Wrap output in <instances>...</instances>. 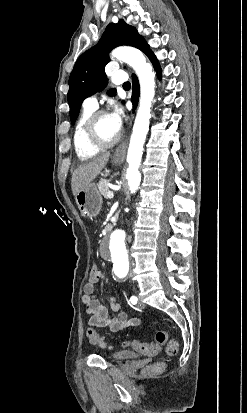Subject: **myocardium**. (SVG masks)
Returning <instances> with one entry per match:
<instances>
[{
  "mask_svg": "<svg viewBox=\"0 0 247 413\" xmlns=\"http://www.w3.org/2000/svg\"><path fill=\"white\" fill-rule=\"evenodd\" d=\"M103 115V111H96L94 112L89 119L88 125L86 127L85 130V139L86 142L95 148H98L100 150L103 149H109L112 148L113 146H115L118 141H119V136H117L116 138H114L113 140H103L99 134H98V130H97V123L99 122L100 118Z\"/></svg>",
  "mask_w": 247,
  "mask_h": 413,
  "instance_id": "1",
  "label": "myocardium"
}]
</instances>
